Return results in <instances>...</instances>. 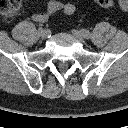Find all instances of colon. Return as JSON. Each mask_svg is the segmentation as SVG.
I'll return each instance as SVG.
<instances>
[{"instance_id": "obj_1", "label": "colon", "mask_w": 128, "mask_h": 128, "mask_svg": "<svg viewBox=\"0 0 128 128\" xmlns=\"http://www.w3.org/2000/svg\"><path fill=\"white\" fill-rule=\"evenodd\" d=\"M119 6L128 11V0H118ZM102 7L109 8L114 4V0H95ZM21 8V0H0V14L7 20H11ZM76 7L73 2H67L64 7V13L71 15L75 12Z\"/></svg>"}]
</instances>
